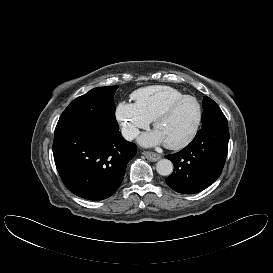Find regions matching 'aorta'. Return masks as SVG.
Listing matches in <instances>:
<instances>
[{
  "label": "aorta",
  "instance_id": "1",
  "mask_svg": "<svg viewBox=\"0 0 273 273\" xmlns=\"http://www.w3.org/2000/svg\"><path fill=\"white\" fill-rule=\"evenodd\" d=\"M156 171L162 176H169L173 172V163L168 159H161L156 164Z\"/></svg>",
  "mask_w": 273,
  "mask_h": 273
}]
</instances>
